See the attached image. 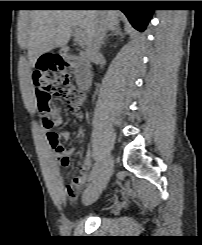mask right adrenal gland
I'll list each match as a JSON object with an SVG mask.
<instances>
[{
    "instance_id": "obj_1",
    "label": "right adrenal gland",
    "mask_w": 202,
    "mask_h": 245,
    "mask_svg": "<svg viewBox=\"0 0 202 245\" xmlns=\"http://www.w3.org/2000/svg\"><path fill=\"white\" fill-rule=\"evenodd\" d=\"M110 36H120V37H123V33H122V31H121V29H120L119 27L114 28V29L111 31V33H110L109 35H107L106 38L104 39V42H103V44H102L103 46H105L106 41L108 40V38H109Z\"/></svg>"
}]
</instances>
